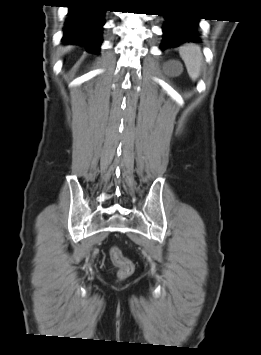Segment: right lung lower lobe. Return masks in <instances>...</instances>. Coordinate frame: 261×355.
Instances as JSON below:
<instances>
[{
	"mask_svg": "<svg viewBox=\"0 0 261 355\" xmlns=\"http://www.w3.org/2000/svg\"><path fill=\"white\" fill-rule=\"evenodd\" d=\"M69 8L63 42L80 45L87 51L98 53L102 42L104 10L99 8L97 0H80L77 5Z\"/></svg>",
	"mask_w": 261,
	"mask_h": 355,
	"instance_id": "1",
	"label": "right lung lower lobe"
}]
</instances>
